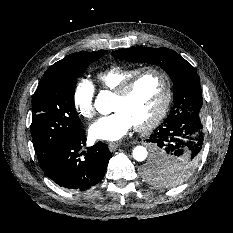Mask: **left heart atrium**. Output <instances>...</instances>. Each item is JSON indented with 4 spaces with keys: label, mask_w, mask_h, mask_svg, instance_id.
<instances>
[{
    "label": "left heart atrium",
    "mask_w": 233,
    "mask_h": 233,
    "mask_svg": "<svg viewBox=\"0 0 233 233\" xmlns=\"http://www.w3.org/2000/svg\"><path fill=\"white\" fill-rule=\"evenodd\" d=\"M133 126V121L124 111L116 110L96 120L90 126L89 134L94 139L116 141L124 137Z\"/></svg>",
    "instance_id": "1"
}]
</instances>
